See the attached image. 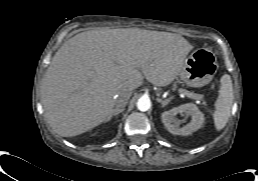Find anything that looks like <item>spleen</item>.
Returning a JSON list of instances; mask_svg holds the SVG:
<instances>
[{
  "mask_svg": "<svg viewBox=\"0 0 258 181\" xmlns=\"http://www.w3.org/2000/svg\"><path fill=\"white\" fill-rule=\"evenodd\" d=\"M233 85L230 75L225 74L221 77L219 96L215 102L213 119L217 131L222 130L230 117L233 105Z\"/></svg>",
  "mask_w": 258,
  "mask_h": 181,
  "instance_id": "obj_1",
  "label": "spleen"
}]
</instances>
